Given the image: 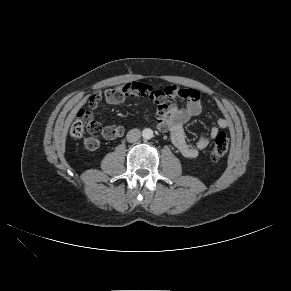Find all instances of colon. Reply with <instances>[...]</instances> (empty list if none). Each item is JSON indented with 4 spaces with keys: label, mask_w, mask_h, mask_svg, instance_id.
Instances as JSON below:
<instances>
[{
    "label": "colon",
    "mask_w": 291,
    "mask_h": 291,
    "mask_svg": "<svg viewBox=\"0 0 291 291\" xmlns=\"http://www.w3.org/2000/svg\"><path fill=\"white\" fill-rule=\"evenodd\" d=\"M99 99V98H98ZM96 99H93L89 103L90 108H95ZM123 128L121 127H102L93 118V115L88 110H81L77 116V119L71 126L70 134L72 137L81 139L86 133L91 135L89 138L97 139V137H104L107 139L115 138L121 135ZM229 148V138L228 136L221 132L217 134L210 150V158L212 161H218L221 159L228 151Z\"/></svg>",
    "instance_id": "colon-1"
}]
</instances>
